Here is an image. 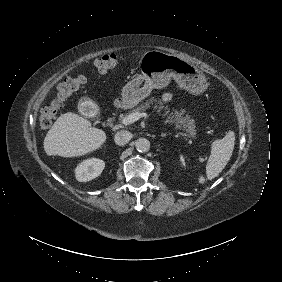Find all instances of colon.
<instances>
[{
  "label": "colon",
  "mask_w": 282,
  "mask_h": 282,
  "mask_svg": "<svg viewBox=\"0 0 282 282\" xmlns=\"http://www.w3.org/2000/svg\"><path fill=\"white\" fill-rule=\"evenodd\" d=\"M117 64L118 59L116 55L106 54L97 59L95 66L99 73L104 74L113 70ZM84 81V77L79 76L70 78L59 85L53 99L40 113L39 125L42 128H48L53 124L59 110L63 105V102L75 91L80 89V87L84 84Z\"/></svg>",
  "instance_id": "1"
}]
</instances>
